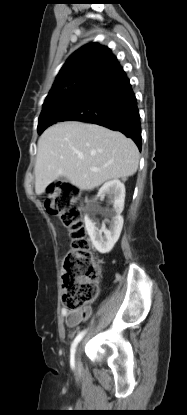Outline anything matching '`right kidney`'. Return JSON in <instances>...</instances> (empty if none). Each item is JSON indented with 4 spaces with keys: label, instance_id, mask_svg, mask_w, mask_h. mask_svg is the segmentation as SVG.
Masks as SVG:
<instances>
[{
    "label": "right kidney",
    "instance_id": "right-kidney-1",
    "mask_svg": "<svg viewBox=\"0 0 187 415\" xmlns=\"http://www.w3.org/2000/svg\"><path fill=\"white\" fill-rule=\"evenodd\" d=\"M105 196H107L113 204V209L102 210L98 205H93L92 211L100 212L105 217L111 218V221L107 218L105 219V221L110 222L109 229H107L104 224L100 229L96 227V222H94L92 218V212L85 216V227L92 244L96 250L102 254L112 250L119 239L123 227L124 220L121 213L124 208L125 200L124 184L118 179L106 182L100 188L97 197L100 198V200H103Z\"/></svg>",
    "mask_w": 187,
    "mask_h": 415
}]
</instances>
